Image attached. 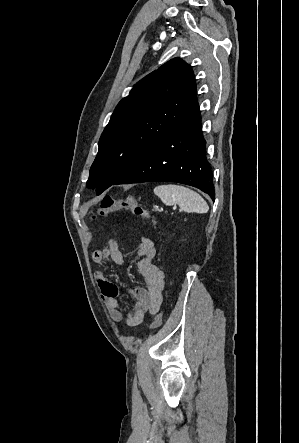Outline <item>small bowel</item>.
<instances>
[{"label":"small bowel","instance_id":"obj_1","mask_svg":"<svg viewBox=\"0 0 299 443\" xmlns=\"http://www.w3.org/2000/svg\"><path fill=\"white\" fill-rule=\"evenodd\" d=\"M155 255L154 243L144 238L137 247L135 259L138 261V271L145 279L146 287H137L132 290L133 301L128 312H123L120 309L118 297L121 291L119 286L111 282L102 271L95 272V280L101 297L105 301L110 317L115 322L134 327L142 323L146 313L155 314L158 312L162 303L164 273L153 263ZM92 257L97 264L111 260L118 266L126 265L124 256L113 239H109L104 247L94 251Z\"/></svg>","mask_w":299,"mask_h":443}]
</instances>
